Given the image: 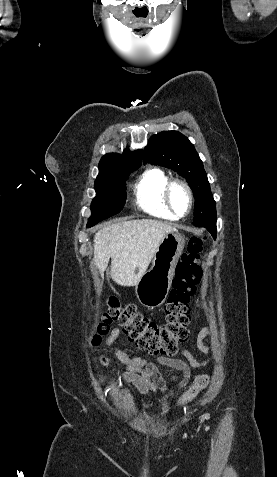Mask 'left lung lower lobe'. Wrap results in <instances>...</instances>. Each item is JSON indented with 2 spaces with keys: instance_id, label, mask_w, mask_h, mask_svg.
Wrapping results in <instances>:
<instances>
[{
  "instance_id": "left-lung-lower-lobe-1",
  "label": "left lung lower lobe",
  "mask_w": 277,
  "mask_h": 477,
  "mask_svg": "<svg viewBox=\"0 0 277 477\" xmlns=\"http://www.w3.org/2000/svg\"><path fill=\"white\" fill-rule=\"evenodd\" d=\"M202 227H205L211 233V235L214 237V239L216 238V232H217L216 231V222L204 224Z\"/></svg>"
}]
</instances>
